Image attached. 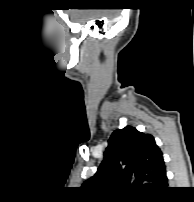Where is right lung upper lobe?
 Returning a JSON list of instances; mask_svg holds the SVG:
<instances>
[{
  "instance_id": "1",
  "label": "right lung upper lobe",
  "mask_w": 194,
  "mask_h": 202,
  "mask_svg": "<svg viewBox=\"0 0 194 202\" xmlns=\"http://www.w3.org/2000/svg\"><path fill=\"white\" fill-rule=\"evenodd\" d=\"M84 186L97 192L154 196L167 186L161 150L152 135L132 126L118 129L109 139L104 161Z\"/></svg>"
}]
</instances>
